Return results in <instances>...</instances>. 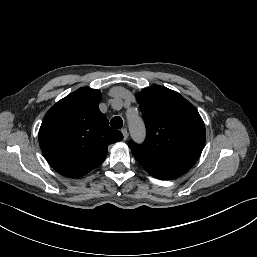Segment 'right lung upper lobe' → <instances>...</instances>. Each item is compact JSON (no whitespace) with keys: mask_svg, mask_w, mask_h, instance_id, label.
I'll return each mask as SVG.
<instances>
[{"mask_svg":"<svg viewBox=\"0 0 257 257\" xmlns=\"http://www.w3.org/2000/svg\"><path fill=\"white\" fill-rule=\"evenodd\" d=\"M101 93L80 88L57 102L39 130L40 148L60 174L78 178L99 166L108 145L121 141L120 131L109 126L98 104Z\"/></svg>","mask_w":257,"mask_h":257,"instance_id":"1","label":"right lung upper lobe"}]
</instances>
